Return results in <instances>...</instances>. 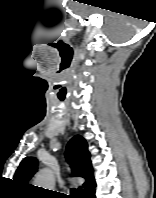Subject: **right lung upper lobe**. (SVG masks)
Wrapping results in <instances>:
<instances>
[{"label": "right lung upper lobe", "instance_id": "obj_1", "mask_svg": "<svg viewBox=\"0 0 156 198\" xmlns=\"http://www.w3.org/2000/svg\"><path fill=\"white\" fill-rule=\"evenodd\" d=\"M66 158L72 164L73 175L86 179L84 186V195L92 192L96 186L93 169L90 162V153L88 152L87 142L80 135L74 136L66 148ZM38 161L34 157H27L21 163L14 175V180L26 184L37 169Z\"/></svg>", "mask_w": 156, "mask_h": 198}]
</instances>
